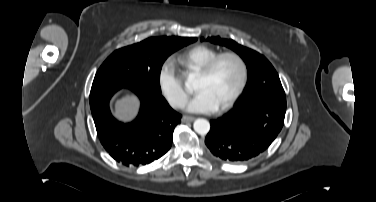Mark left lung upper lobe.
<instances>
[{
	"instance_id": "1",
	"label": "left lung upper lobe",
	"mask_w": 376,
	"mask_h": 202,
	"mask_svg": "<svg viewBox=\"0 0 376 202\" xmlns=\"http://www.w3.org/2000/svg\"><path fill=\"white\" fill-rule=\"evenodd\" d=\"M203 40V38L201 39ZM212 43L224 45L238 53L248 69V83L245 95L238 107L253 104L259 100L286 108V97L279 76L271 63L258 52L239 45L233 40L220 37L208 38Z\"/></svg>"
}]
</instances>
